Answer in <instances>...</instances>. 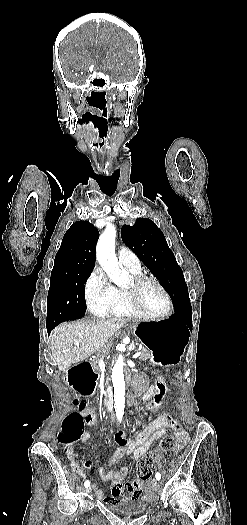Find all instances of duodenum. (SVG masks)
I'll list each match as a JSON object with an SVG mask.
<instances>
[{
	"label": "duodenum",
	"mask_w": 247,
	"mask_h": 525,
	"mask_svg": "<svg viewBox=\"0 0 247 525\" xmlns=\"http://www.w3.org/2000/svg\"><path fill=\"white\" fill-rule=\"evenodd\" d=\"M67 383L83 396H90L95 392L98 374L91 361H81L71 368L67 375ZM104 407L111 410L113 406V392L108 391L104 398Z\"/></svg>",
	"instance_id": "obj_1"
}]
</instances>
